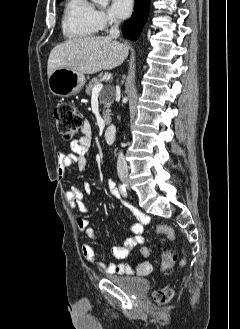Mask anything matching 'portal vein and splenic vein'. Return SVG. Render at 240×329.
<instances>
[{"label": "portal vein and splenic vein", "mask_w": 240, "mask_h": 329, "mask_svg": "<svg viewBox=\"0 0 240 329\" xmlns=\"http://www.w3.org/2000/svg\"><path fill=\"white\" fill-rule=\"evenodd\" d=\"M103 89V84L96 85L92 90V96H99L101 90Z\"/></svg>", "instance_id": "1"}]
</instances>
